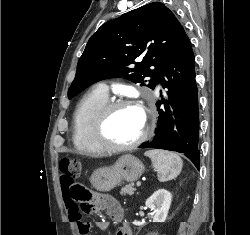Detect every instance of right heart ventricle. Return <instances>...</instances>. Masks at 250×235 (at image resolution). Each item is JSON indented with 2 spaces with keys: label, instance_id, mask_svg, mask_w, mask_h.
<instances>
[{
  "label": "right heart ventricle",
  "instance_id": "e07e8e85",
  "mask_svg": "<svg viewBox=\"0 0 250 235\" xmlns=\"http://www.w3.org/2000/svg\"><path fill=\"white\" fill-rule=\"evenodd\" d=\"M108 101V94L97 87L87 93L78 103L73 115L72 139L80 154L96 156L106 152L94 142L91 131L97 112Z\"/></svg>",
  "mask_w": 250,
  "mask_h": 235
}]
</instances>
